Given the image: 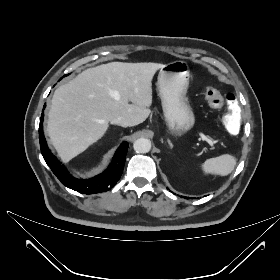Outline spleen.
Returning <instances> with one entry per match:
<instances>
[{"label": "spleen", "mask_w": 280, "mask_h": 280, "mask_svg": "<svg viewBox=\"0 0 280 280\" xmlns=\"http://www.w3.org/2000/svg\"><path fill=\"white\" fill-rule=\"evenodd\" d=\"M236 162L237 160L234 156L230 154H223L206 160L203 163L202 168L207 174L227 176L234 170Z\"/></svg>", "instance_id": "obj_1"}]
</instances>
